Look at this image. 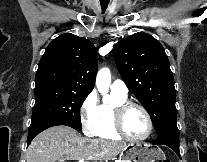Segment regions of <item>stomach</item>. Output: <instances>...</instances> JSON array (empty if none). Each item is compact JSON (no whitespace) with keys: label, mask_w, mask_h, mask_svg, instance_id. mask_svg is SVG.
<instances>
[{"label":"stomach","mask_w":207,"mask_h":162,"mask_svg":"<svg viewBox=\"0 0 207 162\" xmlns=\"http://www.w3.org/2000/svg\"><path fill=\"white\" fill-rule=\"evenodd\" d=\"M165 160L163 151L150 144H129L120 154V162H155Z\"/></svg>","instance_id":"stomach-1"}]
</instances>
